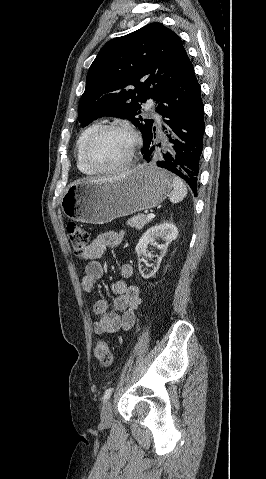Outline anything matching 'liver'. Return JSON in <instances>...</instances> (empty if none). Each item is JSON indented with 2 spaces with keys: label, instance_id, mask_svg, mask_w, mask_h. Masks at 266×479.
<instances>
[{
  "label": "liver",
  "instance_id": "obj_1",
  "mask_svg": "<svg viewBox=\"0 0 266 479\" xmlns=\"http://www.w3.org/2000/svg\"><path fill=\"white\" fill-rule=\"evenodd\" d=\"M128 174H129V173H123V174L118 175V176H116V177L101 178V179H96V180H91V181H94V182H104V181L116 180V179L125 177V176L128 175Z\"/></svg>",
  "mask_w": 266,
  "mask_h": 479
}]
</instances>
